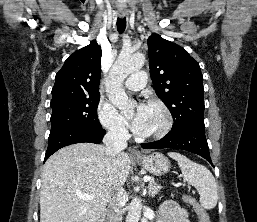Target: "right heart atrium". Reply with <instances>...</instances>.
I'll use <instances>...</instances> for the list:
<instances>
[{
    "mask_svg": "<svg viewBox=\"0 0 257 222\" xmlns=\"http://www.w3.org/2000/svg\"><path fill=\"white\" fill-rule=\"evenodd\" d=\"M97 116L100 124L113 137L124 139L128 136L124 121L111 104L100 101L97 107Z\"/></svg>",
    "mask_w": 257,
    "mask_h": 222,
    "instance_id": "d8ad5b80",
    "label": "right heart atrium"
}]
</instances>
